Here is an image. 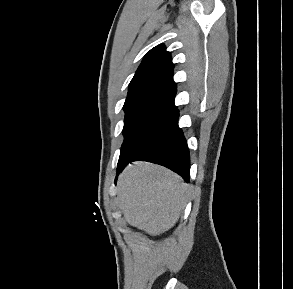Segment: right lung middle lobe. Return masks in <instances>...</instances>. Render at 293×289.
I'll return each instance as SVG.
<instances>
[{"label":"right lung middle lobe","mask_w":293,"mask_h":289,"mask_svg":"<svg viewBox=\"0 0 293 289\" xmlns=\"http://www.w3.org/2000/svg\"><path fill=\"white\" fill-rule=\"evenodd\" d=\"M123 109L126 113L123 128L125 138L121 151L129 148L156 124L177 111L172 104L151 99L126 101Z\"/></svg>","instance_id":"right-lung-middle-lobe-1"}]
</instances>
